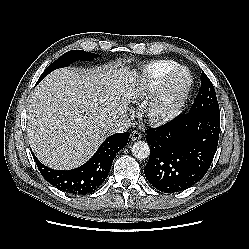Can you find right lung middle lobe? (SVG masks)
<instances>
[{"instance_id":"right-lung-middle-lobe-1","label":"right lung middle lobe","mask_w":249,"mask_h":249,"mask_svg":"<svg viewBox=\"0 0 249 249\" xmlns=\"http://www.w3.org/2000/svg\"><path fill=\"white\" fill-rule=\"evenodd\" d=\"M99 55L94 53L85 52L83 50H71L64 53L56 61H54L49 67L42 73L39 78V81L43 79L47 74L52 72L55 69L66 67L74 61H93L94 58H97Z\"/></svg>"}]
</instances>
